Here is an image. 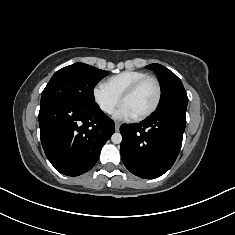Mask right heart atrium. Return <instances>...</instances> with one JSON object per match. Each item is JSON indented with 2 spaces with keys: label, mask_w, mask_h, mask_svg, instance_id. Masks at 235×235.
Here are the masks:
<instances>
[{
  "label": "right heart atrium",
  "mask_w": 235,
  "mask_h": 235,
  "mask_svg": "<svg viewBox=\"0 0 235 235\" xmlns=\"http://www.w3.org/2000/svg\"><path fill=\"white\" fill-rule=\"evenodd\" d=\"M92 93L95 103L105 114H112L120 103V97L115 95L105 83H97Z\"/></svg>",
  "instance_id": "right-heart-atrium-1"
}]
</instances>
